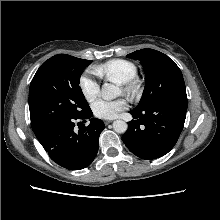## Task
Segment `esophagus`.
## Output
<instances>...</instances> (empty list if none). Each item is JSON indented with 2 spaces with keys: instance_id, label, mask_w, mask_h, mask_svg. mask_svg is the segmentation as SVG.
I'll use <instances>...</instances> for the list:
<instances>
[{
  "instance_id": "obj_1",
  "label": "esophagus",
  "mask_w": 220,
  "mask_h": 220,
  "mask_svg": "<svg viewBox=\"0 0 220 220\" xmlns=\"http://www.w3.org/2000/svg\"><path fill=\"white\" fill-rule=\"evenodd\" d=\"M112 121L111 120H104V124L105 125H108V124H110Z\"/></svg>"
}]
</instances>
